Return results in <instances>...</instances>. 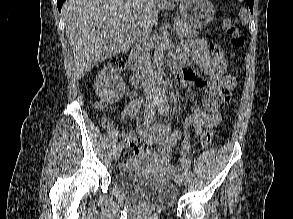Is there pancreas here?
<instances>
[{"label": "pancreas", "instance_id": "obj_1", "mask_svg": "<svg viewBox=\"0 0 293 219\" xmlns=\"http://www.w3.org/2000/svg\"><path fill=\"white\" fill-rule=\"evenodd\" d=\"M174 29L176 33L181 37H195L197 35L196 28L179 19L175 20Z\"/></svg>", "mask_w": 293, "mask_h": 219}]
</instances>
